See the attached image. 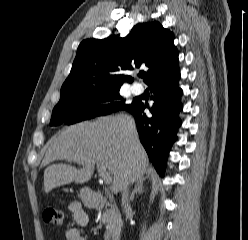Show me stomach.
I'll return each mask as SVG.
<instances>
[{
    "label": "stomach",
    "instance_id": "obj_1",
    "mask_svg": "<svg viewBox=\"0 0 248 240\" xmlns=\"http://www.w3.org/2000/svg\"><path fill=\"white\" fill-rule=\"evenodd\" d=\"M80 197L83 199V200H87V196L85 195V192L84 191H81L80 193Z\"/></svg>",
    "mask_w": 248,
    "mask_h": 240
}]
</instances>
